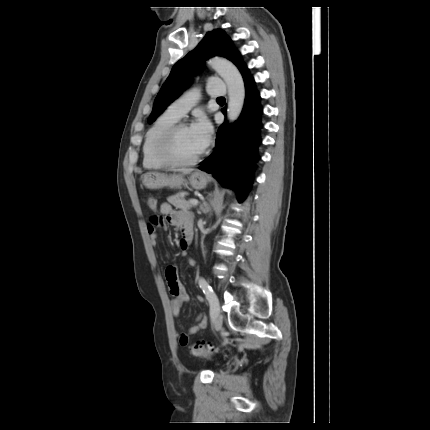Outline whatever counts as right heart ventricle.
I'll return each instance as SVG.
<instances>
[{"instance_id":"obj_1","label":"right heart ventricle","mask_w":430,"mask_h":430,"mask_svg":"<svg viewBox=\"0 0 430 430\" xmlns=\"http://www.w3.org/2000/svg\"><path fill=\"white\" fill-rule=\"evenodd\" d=\"M179 118L180 117H177L170 111L166 110L148 128L142 145V164L144 168L162 169L169 166L156 155L155 146L159 137L170 126L178 122Z\"/></svg>"}]
</instances>
